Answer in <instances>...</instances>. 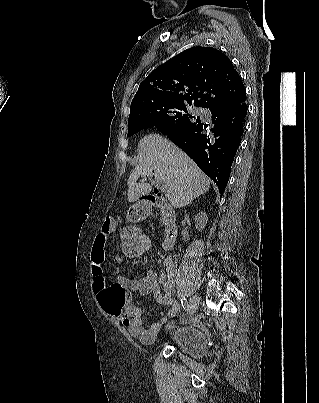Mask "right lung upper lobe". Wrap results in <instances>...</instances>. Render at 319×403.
I'll use <instances>...</instances> for the list:
<instances>
[{"instance_id": "obj_1", "label": "right lung upper lobe", "mask_w": 319, "mask_h": 403, "mask_svg": "<svg viewBox=\"0 0 319 403\" xmlns=\"http://www.w3.org/2000/svg\"><path fill=\"white\" fill-rule=\"evenodd\" d=\"M246 99L243 82L230 59L215 48L196 46L156 68L140 84L129 119L165 104L205 107Z\"/></svg>"}]
</instances>
